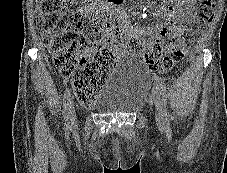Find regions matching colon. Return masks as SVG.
Returning a JSON list of instances; mask_svg holds the SVG:
<instances>
[{"label": "colon", "mask_w": 227, "mask_h": 173, "mask_svg": "<svg viewBox=\"0 0 227 173\" xmlns=\"http://www.w3.org/2000/svg\"><path fill=\"white\" fill-rule=\"evenodd\" d=\"M72 2L35 0L37 24L55 67L63 77L71 79L79 101L91 104L114 64V56L104 41L118 32L119 24L110 15L93 17L84 11L67 10ZM215 8L216 0H200L196 29H204L212 21ZM194 41L193 30H188L166 51L157 37L147 43L134 38L128 46L149 69L168 72L184 59Z\"/></svg>", "instance_id": "obj_1"}]
</instances>
